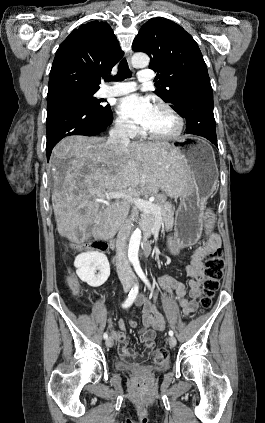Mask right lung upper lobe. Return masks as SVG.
Instances as JSON below:
<instances>
[{"mask_svg":"<svg viewBox=\"0 0 265 423\" xmlns=\"http://www.w3.org/2000/svg\"><path fill=\"white\" fill-rule=\"evenodd\" d=\"M123 55L108 23L95 20L81 25L56 52L47 97L77 89L98 90L100 77L111 73Z\"/></svg>","mask_w":265,"mask_h":423,"instance_id":"obj_1","label":"right lung upper lobe"}]
</instances>
